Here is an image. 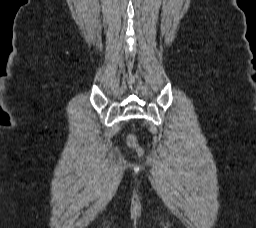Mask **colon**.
<instances>
[{
  "label": "colon",
  "mask_w": 256,
  "mask_h": 228,
  "mask_svg": "<svg viewBox=\"0 0 256 228\" xmlns=\"http://www.w3.org/2000/svg\"><path fill=\"white\" fill-rule=\"evenodd\" d=\"M127 144H128L129 147H131L132 149L136 150L138 153H140V154L142 153V148L138 144L135 135H129L128 136Z\"/></svg>",
  "instance_id": "1"
}]
</instances>
